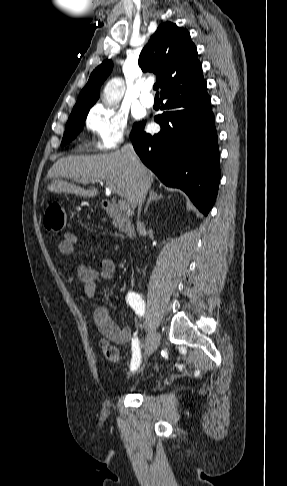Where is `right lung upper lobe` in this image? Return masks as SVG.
<instances>
[{"instance_id": "obj_1", "label": "right lung upper lobe", "mask_w": 287, "mask_h": 486, "mask_svg": "<svg viewBox=\"0 0 287 486\" xmlns=\"http://www.w3.org/2000/svg\"><path fill=\"white\" fill-rule=\"evenodd\" d=\"M112 66L110 60H105L95 68L71 114L89 110L95 104L100 96V86L112 71ZM139 66L144 72L157 74L160 95L203 78L197 49L189 32L171 22L159 25L140 53Z\"/></svg>"}]
</instances>
